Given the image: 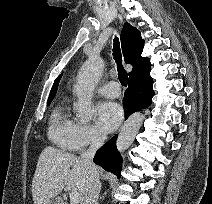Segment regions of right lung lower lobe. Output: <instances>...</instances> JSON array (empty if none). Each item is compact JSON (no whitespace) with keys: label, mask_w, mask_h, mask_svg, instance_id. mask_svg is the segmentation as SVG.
<instances>
[{"label":"right lung lower lobe","mask_w":212,"mask_h":204,"mask_svg":"<svg viewBox=\"0 0 212 204\" xmlns=\"http://www.w3.org/2000/svg\"><path fill=\"white\" fill-rule=\"evenodd\" d=\"M152 85L153 79L150 77V69H146L136 77L129 79L128 88L123 98L125 119L132 113L151 105L154 95ZM116 139L117 135L96 152L94 163L119 177L122 169V158L116 148Z\"/></svg>","instance_id":"98d812e1"}]
</instances>
